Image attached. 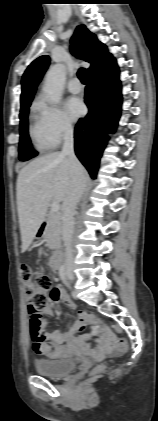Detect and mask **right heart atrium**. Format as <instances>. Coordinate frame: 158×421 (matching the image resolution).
Masks as SVG:
<instances>
[{"label":"right heart atrium","instance_id":"obj_1","mask_svg":"<svg viewBox=\"0 0 158 421\" xmlns=\"http://www.w3.org/2000/svg\"><path fill=\"white\" fill-rule=\"evenodd\" d=\"M39 109L43 118L45 131L54 144H58L65 137L73 133V124L66 113L58 106L39 102Z\"/></svg>","mask_w":158,"mask_h":421}]
</instances>
